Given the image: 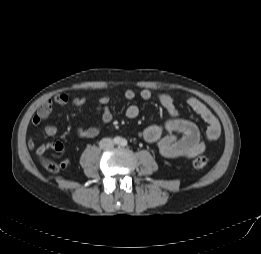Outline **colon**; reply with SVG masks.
Here are the masks:
<instances>
[{"label":"colon","instance_id":"colon-1","mask_svg":"<svg viewBox=\"0 0 261 254\" xmlns=\"http://www.w3.org/2000/svg\"><path fill=\"white\" fill-rule=\"evenodd\" d=\"M41 163H42L43 167L48 172H51V173H56L60 168L59 163L53 158L42 157ZM209 163H210V158L207 156H198L192 160L193 167H195L197 169L204 168Z\"/></svg>","mask_w":261,"mask_h":254}]
</instances>
